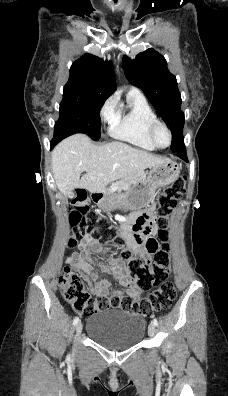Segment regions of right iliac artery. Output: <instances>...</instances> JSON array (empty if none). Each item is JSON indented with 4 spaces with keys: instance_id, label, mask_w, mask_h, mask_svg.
Returning a JSON list of instances; mask_svg holds the SVG:
<instances>
[{
    "instance_id": "82829eb1",
    "label": "right iliac artery",
    "mask_w": 228,
    "mask_h": 396,
    "mask_svg": "<svg viewBox=\"0 0 228 396\" xmlns=\"http://www.w3.org/2000/svg\"><path fill=\"white\" fill-rule=\"evenodd\" d=\"M79 322V317H75L73 320V324L76 325Z\"/></svg>"
}]
</instances>
